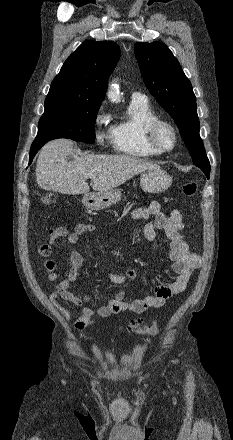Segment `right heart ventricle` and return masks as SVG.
I'll use <instances>...</instances> for the list:
<instances>
[{"instance_id": "e07e8e85", "label": "right heart ventricle", "mask_w": 233, "mask_h": 440, "mask_svg": "<svg viewBox=\"0 0 233 440\" xmlns=\"http://www.w3.org/2000/svg\"><path fill=\"white\" fill-rule=\"evenodd\" d=\"M158 117L148 101L131 100L127 116L111 126L110 135L115 150L128 157L149 158L160 153L150 148L144 139V127Z\"/></svg>"}]
</instances>
